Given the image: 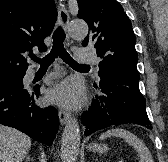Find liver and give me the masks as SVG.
Returning a JSON list of instances; mask_svg holds the SVG:
<instances>
[{
  "instance_id": "obj_1",
  "label": "liver",
  "mask_w": 168,
  "mask_h": 162,
  "mask_svg": "<svg viewBox=\"0 0 168 162\" xmlns=\"http://www.w3.org/2000/svg\"><path fill=\"white\" fill-rule=\"evenodd\" d=\"M31 139L17 129L0 125V162H23Z\"/></svg>"
}]
</instances>
